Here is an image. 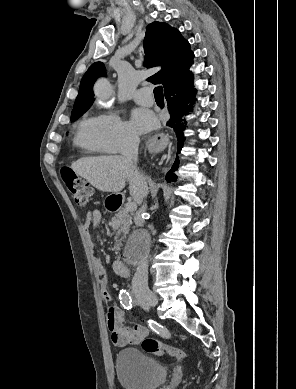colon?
<instances>
[{
	"label": "colon",
	"instance_id": "5ec220e1",
	"mask_svg": "<svg viewBox=\"0 0 296 389\" xmlns=\"http://www.w3.org/2000/svg\"><path fill=\"white\" fill-rule=\"evenodd\" d=\"M61 177L75 203L80 206H86L90 200V188L87 182L78 177L75 172L67 166L61 169ZM141 345L144 351L158 356L167 355L180 360H183L186 357V353L183 350L166 345L154 338H144Z\"/></svg>",
	"mask_w": 296,
	"mask_h": 389
}]
</instances>
